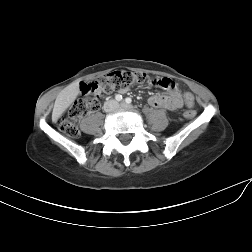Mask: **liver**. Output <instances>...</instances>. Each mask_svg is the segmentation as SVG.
I'll return each instance as SVG.
<instances>
[{
	"label": "liver",
	"mask_w": 252,
	"mask_h": 252,
	"mask_svg": "<svg viewBox=\"0 0 252 252\" xmlns=\"http://www.w3.org/2000/svg\"><path fill=\"white\" fill-rule=\"evenodd\" d=\"M79 83L74 82L64 88L56 97L52 120L56 122L62 114L72 105L77 96L79 95Z\"/></svg>",
	"instance_id": "6515ba94"
}]
</instances>
